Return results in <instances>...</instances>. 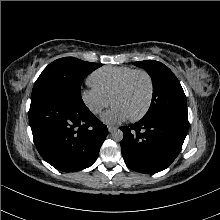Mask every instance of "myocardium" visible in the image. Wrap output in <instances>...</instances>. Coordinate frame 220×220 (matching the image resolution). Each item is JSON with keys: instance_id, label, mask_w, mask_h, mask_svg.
<instances>
[{"instance_id": "f54148a6", "label": "myocardium", "mask_w": 220, "mask_h": 220, "mask_svg": "<svg viewBox=\"0 0 220 220\" xmlns=\"http://www.w3.org/2000/svg\"><path fill=\"white\" fill-rule=\"evenodd\" d=\"M138 74H142L146 77L147 81H148V85H149V94H148V100L147 103L145 105V107L143 108V110L138 113L137 115L131 116L130 120L131 121H138L140 119H142L149 111L152 102H153V97H154V82L152 79V76L143 69H135L134 71H132L129 75H127L123 81L118 85V87L113 91L110 100L111 103H113V99L119 95L120 93H122L126 87L128 86V84L130 83V81L133 79L134 76L138 75Z\"/></svg>"}]
</instances>
